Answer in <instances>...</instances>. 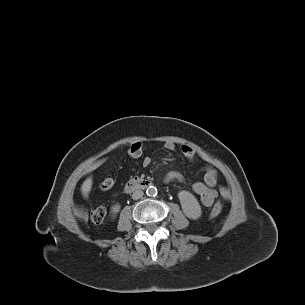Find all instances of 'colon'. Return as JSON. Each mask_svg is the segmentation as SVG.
Here are the masks:
<instances>
[{"label": "colon", "instance_id": "colon-1", "mask_svg": "<svg viewBox=\"0 0 305 305\" xmlns=\"http://www.w3.org/2000/svg\"><path fill=\"white\" fill-rule=\"evenodd\" d=\"M144 149L145 146L142 141L140 140L134 141L129 145L128 154L132 158H140L144 153ZM114 185H115V179L111 175L106 176L101 183V187L104 190H109L113 188ZM222 209H223V205L221 202L215 203V205L213 206L210 212V216L212 218L217 217L221 213ZM105 216H106V209L104 206H97L93 208L90 213L91 220L95 224H100L101 222H103Z\"/></svg>", "mask_w": 305, "mask_h": 305}]
</instances>
